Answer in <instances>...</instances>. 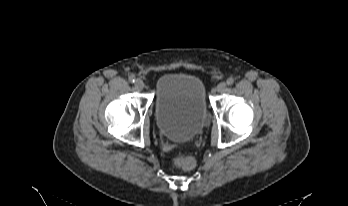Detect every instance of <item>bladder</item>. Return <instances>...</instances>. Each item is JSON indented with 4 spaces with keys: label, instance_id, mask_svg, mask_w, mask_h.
I'll return each mask as SVG.
<instances>
[{
    "label": "bladder",
    "instance_id": "31cf9c89",
    "mask_svg": "<svg viewBox=\"0 0 348 206\" xmlns=\"http://www.w3.org/2000/svg\"><path fill=\"white\" fill-rule=\"evenodd\" d=\"M159 131L173 141H190L209 120L203 82L192 75L167 74L155 85Z\"/></svg>",
    "mask_w": 348,
    "mask_h": 206
}]
</instances>
